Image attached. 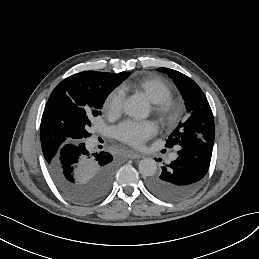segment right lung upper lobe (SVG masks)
I'll return each instance as SVG.
<instances>
[{
    "label": "right lung upper lobe",
    "instance_id": "right-lung-upper-lobe-1",
    "mask_svg": "<svg viewBox=\"0 0 259 259\" xmlns=\"http://www.w3.org/2000/svg\"><path fill=\"white\" fill-rule=\"evenodd\" d=\"M127 73L84 71L69 76L55 87L46 104L40 125L41 146L47 163L52 162L67 144L65 131L74 125L82 112L89 107L92 94L114 82H122Z\"/></svg>",
    "mask_w": 259,
    "mask_h": 259
}]
</instances>
